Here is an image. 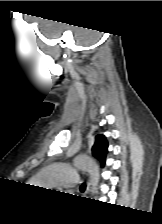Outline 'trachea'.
Wrapping results in <instances>:
<instances>
[{"label":"trachea","mask_w":162,"mask_h":224,"mask_svg":"<svg viewBox=\"0 0 162 224\" xmlns=\"http://www.w3.org/2000/svg\"><path fill=\"white\" fill-rule=\"evenodd\" d=\"M81 190H85L86 189V185L83 183L80 187Z\"/></svg>","instance_id":"3493384b"}]
</instances>
